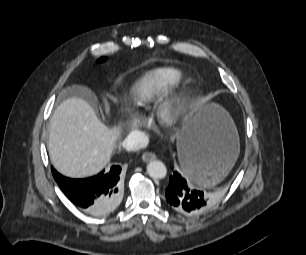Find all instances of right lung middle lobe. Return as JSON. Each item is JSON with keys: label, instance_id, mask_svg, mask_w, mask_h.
Returning <instances> with one entry per match:
<instances>
[{"label": "right lung middle lobe", "instance_id": "dd1d6c3e", "mask_svg": "<svg viewBox=\"0 0 306 255\" xmlns=\"http://www.w3.org/2000/svg\"><path fill=\"white\" fill-rule=\"evenodd\" d=\"M106 60V57H101L98 62H104Z\"/></svg>", "mask_w": 306, "mask_h": 255}]
</instances>
